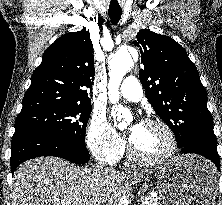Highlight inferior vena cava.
I'll list each match as a JSON object with an SVG mask.
<instances>
[{"label": "inferior vena cava", "instance_id": "602c4592", "mask_svg": "<svg viewBox=\"0 0 222 205\" xmlns=\"http://www.w3.org/2000/svg\"><path fill=\"white\" fill-rule=\"evenodd\" d=\"M96 168H97L98 170H101V171H102V170H103V165H102V164H99V165L96 166Z\"/></svg>", "mask_w": 222, "mask_h": 205}]
</instances>
